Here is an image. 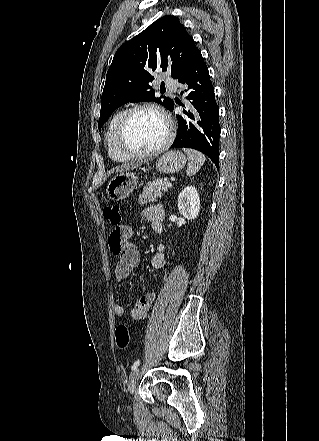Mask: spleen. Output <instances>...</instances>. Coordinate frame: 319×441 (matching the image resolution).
Listing matches in <instances>:
<instances>
[{"label": "spleen", "mask_w": 319, "mask_h": 441, "mask_svg": "<svg viewBox=\"0 0 319 441\" xmlns=\"http://www.w3.org/2000/svg\"><path fill=\"white\" fill-rule=\"evenodd\" d=\"M183 151L187 154L189 159L186 173L188 176L195 175L204 164L206 157L201 152L194 149L184 148Z\"/></svg>", "instance_id": "obj_1"}]
</instances>
